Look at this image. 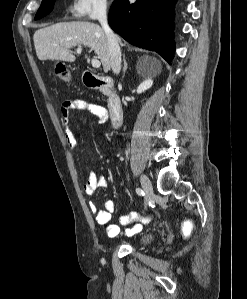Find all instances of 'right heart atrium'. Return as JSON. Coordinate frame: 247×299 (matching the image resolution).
<instances>
[{
  "instance_id": "1",
  "label": "right heart atrium",
  "mask_w": 247,
  "mask_h": 299,
  "mask_svg": "<svg viewBox=\"0 0 247 299\" xmlns=\"http://www.w3.org/2000/svg\"><path fill=\"white\" fill-rule=\"evenodd\" d=\"M107 0H72L69 12L75 18H97L106 13Z\"/></svg>"
}]
</instances>
